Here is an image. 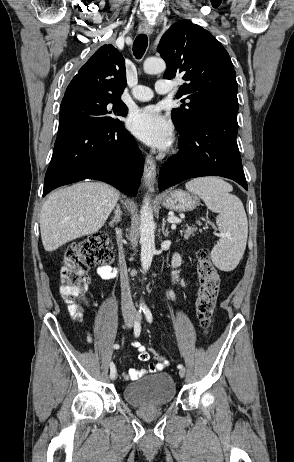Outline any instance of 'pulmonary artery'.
<instances>
[{
  "label": "pulmonary artery",
  "instance_id": "pulmonary-artery-1",
  "mask_svg": "<svg viewBox=\"0 0 294 462\" xmlns=\"http://www.w3.org/2000/svg\"><path fill=\"white\" fill-rule=\"evenodd\" d=\"M171 90L170 82L165 79H160L155 83L154 91L158 94H167ZM154 91L147 86L137 85L132 90V96L139 101H148L153 97Z\"/></svg>",
  "mask_w": 294,
  "mask_h": 462
}]
</instances>
